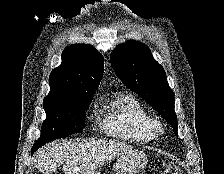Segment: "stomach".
Here are the masks:
<instances>
[{
  "instance_id": "0dacf381",
  "label": "stomach",
  "mask_w": 224,
  "mask_h": 174,
  "mask_svg": "<svg viewBox=\"0 0 224 174\" xmlns=\"http://www.w3.org/2000/svg\"><path fill=\"white\" fill-rule=\"evenodd\" d=\"M147 163V157L142 151L131 150L121 155L113 166L114 174H136ZM88 174H100L98 171H90Z\"/></svg>"
}]
</instances>
